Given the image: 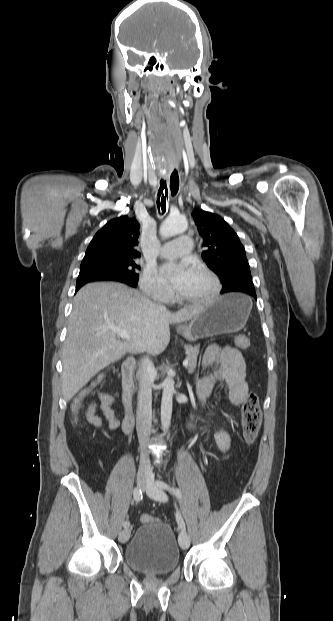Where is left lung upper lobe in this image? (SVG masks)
<instances>
[{"label": "left lung upper lobe", "instance_id": "obj_1", "mask_svg": "<svg viewBox=\"0 0 333 621\" xmlns=\"http://www.w3.org/2000/svg\"><path fill=\"white\" fill-rule=\"evenodd\" d=\"M192 216L206 247L203 260L223 284L221 294L237 288H254L245 249L228 223L201 209H195Z\"/></svg>", "mask_w": 333, "mask_h": 621}]
</instances>
